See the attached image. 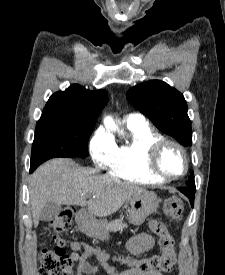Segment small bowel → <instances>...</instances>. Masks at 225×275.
<instances>
[{
	"label": "small bowel",
	"instance_id": "obj_1",
	"mask_svg": "<svg viewBox=\"0 0 225 275\" xmlns=\"http://www.w3.org/2000/svg\"><path fill=\"white\" fill-rule=\"evenodd\" d=\"M155 246L154 238L148 233H140L134 236L128 242L130 253L142 254ZM70 258L77 264V275L91 274L94 275L98 269L104 271L106 275H163L160 272L148 271L142 272L134 269L117 272L114 267L108 264V255L84 242L74 241L70 244ZM80 250L83 252L80 253ZM95 260L97 266H93L91 261Z\"/></svg>",
	"mask_w": 225,
	"mask_h": 275
}]
</instances>
